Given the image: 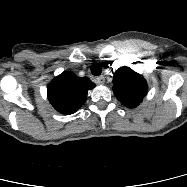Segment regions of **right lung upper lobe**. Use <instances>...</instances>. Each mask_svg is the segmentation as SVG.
I'll return each instance as SVG.
<instances>
[{"mask_svg":"<svg viewBox=\"0 0 187 187\" xmlns=\"http://www.w3.org/2000/svg\"><path fill=\"white\" fill-rule=\"evenodd\" d=\"M95 84L87 77H77L71 72H63L48 85V99L62 114H73L85 103L88 90Z\"/></svg>","mask_w":187,"mask_h":187,"instance_id":"right-lung-upper-lobe-1","label":"right lung upper lobe"}]
</instances>
